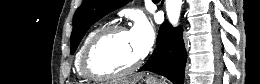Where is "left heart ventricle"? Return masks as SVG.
Instances as JSON below:
<instances>
[{
	"label": "left heart ventricle",
	"instance_id": "1",
	"mask_svg": "<svg viewBox=\"0 0 260 84\" xmlns=\"http://www.w3.org/2000/svg\"><path fill=\"white\" fill-rule=\"evenodd\" d=\"M140 57L130 32L117 33L99 43L93 65L98 71H116L131 66Z\"/></svg>",
	"mask_w": 260,
	"mask_h": 84
}]
</instances>
